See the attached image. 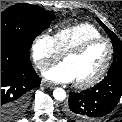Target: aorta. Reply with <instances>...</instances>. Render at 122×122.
<instances>
[{"label": "aorta", "instance_id": "aorta-1", "mask_svg": "<svg viewBox=\"0 0 122 122\" xmlns=\"http://www.w3.org/2000/svg\"><path fill=\"white\" fill-rule=\"evenodd\" d=\"M53 97L58 101H63L66 98V92L62 88H55L53 91Z\"/></svg>", "mask_w": 122, "mask_h": 122}]
</instances>
